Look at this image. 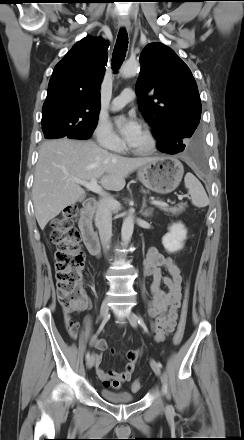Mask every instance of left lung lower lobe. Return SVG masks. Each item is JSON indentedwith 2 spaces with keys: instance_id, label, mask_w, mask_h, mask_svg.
<instances>
[{
  "instance_id": "left-lung-lower-lobe-1",
  "label": "left lung lower lobe",
  "mask_w": 244,
  "mask_h": 440,
  "mask_svg": "<svg viewBox=\"0 0 244 440\" xmlns=\"http://www.w3.org/2000/svg\"><path fill=\"white\" fill-rule=\"evenodd\" d=\"M185 149L186 150L189 149L190 155L192 156L193 160L196 162V164L198 165L199 168L203 169L204 162H203L202 158L200 157V155L198 154V152L192 146L186 145L185 148H181L180 151L175 150V151L170 152L169 154H176V153L184 151ZM165 153H167V152H165Z\"/></svg>"
}]
</instances>
